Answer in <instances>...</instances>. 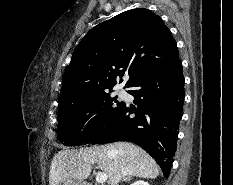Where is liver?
Segmentation results:
<instances>
[{
    "instance_id": "1",
    "label": "liver",
    "mask_w": 233,
    "mask_h": 185,
    "mask_svg": "<svg viewBox=\"0 0 233 185\" xmlns=\"http://www.w3.org/2000/svg\"><path fill=\"white\" fill-rule=\"evenodd\" d=\"M108 177V185H118L126 176L154 179L160 168L154 159L139 146L129 142L93 146L79 150H61L53 158L49 185H61L67 179L83 181L92 165Z\"/></svg>"
}]
</instances>
